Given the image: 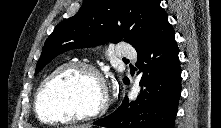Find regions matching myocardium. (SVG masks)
I'll return each mask as SVG.
<instances>
[{
    "instance_id": "1",
    "label": "myocardium",
    "mask_w": 221,
    "mask_h": 128,
    "mask_svg": "<svg viewBox=\"0 0 221 128\" xmlns=\"http://www.w3.org/2000/svg\"><path fill=\"white\" fill-rule=\"evenodd\" d=\"M74 70H84L89 73H91L99 83L101 90H102V97L100 103L92 108V109H87L81 113L75 114V115H68L66 117H53V118H48L43 115L41 111V100L43 97V93L46 90L47 86L54 80L70 73L71 71ZM109 105V95H108V90L107 86L105 83V80L99 70L94 67L93 65L86 63V62H80V61H75V62H70L65 65H62L59 67L57 70L53 71L50 73L39 85L37 89V93L35 96L34 100V108H35V115L36 117L44 123H50V124H57V123H70V122H76V121H81L84 119H94L97 118L101 115H103Z\"/></svg>"
}]
</instances>
